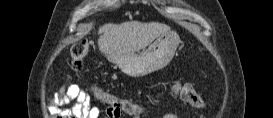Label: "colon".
<instances>
[{
  "label": "colon",
  "mask_w": 273,
  "mask_h": 118,
  "mask_svg": "<svg viewBox=\"0 0 273 118\" xmlns=\"http://www.w3.org/2000/svg\"><path fill=\"white\" fill-rule=\"evenodd\" d=\"M90 44V41L84 39L72 47V67L78 73H81L84 69V60L89 51ZM173 92L179 94L180 96L188 97L194 107L201 108L204 105L201 97L195 92L192 86L188 84H181L179 81H175L173 85ZM96 94L100 100L106 104L114 106L118 111H120V113L122 110L129 114H136L139 111L135 105L129 103L128 101H121L107 93L100 91H96ZM50 117L62 118L58 112L52 114Z\"/></svg>",
  "instance_id": "1"
}]
</instances>
